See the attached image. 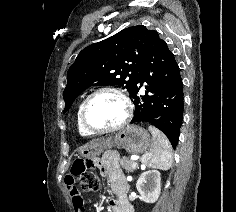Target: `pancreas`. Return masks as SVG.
<instances>
[{"label":"pancreas","instance_id":"obj_1","mask_svg":"<svg viewBox=\"0 0 236 212\" xmlns=\"http://www.w3.org/2000/svg\"><path fill=\"white\" fill-rule=\"evenodd\" d=\"M133 164H135V167H133ZM120 165L123 169L126 170V172H132L138 167V163L136 161L130 160L128 157H123L120 160Z\"/></svg>","mask_w":236,"mask_h":212}]
</instances>
